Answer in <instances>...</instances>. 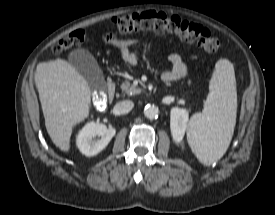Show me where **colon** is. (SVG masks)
Here are the masks:
<instances>
[{
  "label": "colon",
  "mask_w": 275,
  "mask_h": 215,
  "mask_svg": "<svg viewBox=\"0 0 275 215\" xmlns=\"http://www.w3.org/2000/svg\"><path fill=\"white\" fill-rule=\"evenodd\" d=\"M112 24L118 32L123 34L139 31L171 34L183 42L197 44L209 53H215L221 48V42L202 25L163 12L147 11L126 14L113 18ZM87 34V31L82 29L69 33L52 46V53L54 55L64 53L73 45L82 43Z\"/></svg>",
  "instance_id": "5ec220e1"
}]
</instances>
